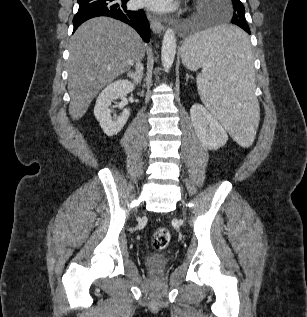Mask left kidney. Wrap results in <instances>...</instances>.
I'll return each instance as SVG.
<instances>
[{
  "label": "left kidney",
  "mask_w": 307,
  "mask_h": 317,
  "mask_svg": "<svg viewBox=\"0 0 307 317\" xmlns=\"http://www.w3.org/2000/svg\"><path fill=\"white\" fill-rule=\"evenodd\" d=\"M190 116L195 132L204 146L217 149L226 144V130L201 104L197 103L191 107Z\"/></svg>",
  "instance_id": "left-kidney-1"
}]
</instances>
